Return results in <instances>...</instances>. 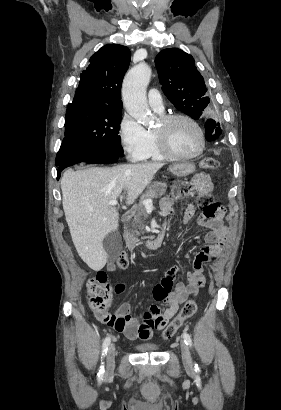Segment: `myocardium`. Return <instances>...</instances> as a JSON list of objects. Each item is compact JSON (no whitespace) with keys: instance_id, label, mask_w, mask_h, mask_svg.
Wrapping results in <instances>:
<instances>
[{"instance_id":"1","label":"myocardium","mask_w":281,"mask_h":410,"mask_svg":"<svg viewBox=\"0 0 281 410\" xmlns=\"http://www.w3.org/2000/svg\"><path fill=\"white\" fill-rule=\"evenodd\" d=\"M178 120H184L192 124L196 130L199 133L201 144L200 148L198 151L191 155H181L173 151V149L170 147L166 135H165V130L175 121ZM160 123L162 126V130L160 131H154V135L158 144V147L160 151L165 155L167 159L170 160H191L194 158L199 157L205 150L206 147V136L203 128L201 125L191 116L186 115V114H170V115H165L161 117Z\"/></svg>"}]
</instances>
